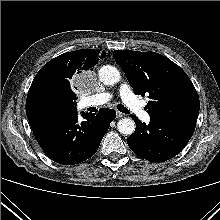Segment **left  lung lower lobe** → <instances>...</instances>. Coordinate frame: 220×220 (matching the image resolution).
<instances>
[{
    "label": "left lung lower lobe",
    "mask_w": 220,
    "mask_h": 220,
    "mask_svg": "<svg viewBox=\"0 0 220 220\" xmlns=\"http://www.w3.org/2000/svg\"><path fill=\"white\" fill-rule=\"evenodd\" d=\"M136 123L135 132L127 138L131 150L141 158L163 162L180 153L190 140L198 114L174 113L150 117V123Z\"/></svg>",
    "instance_id": "left-lung-lower-lobe-1"
}]
</instances>
